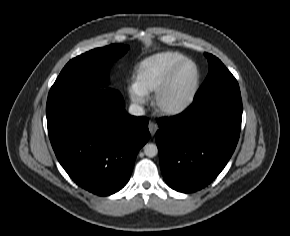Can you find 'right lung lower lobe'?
Returning <instances> with one entry per match:
<instances>
[{
  "label": "right lung lower lobe",
  "instance_id": "right-lung-lower-lobe-1",
  "mask_svg": "<svg viewBox=\"0 0 290 236\" xmlns=\"http://www.w3.org/2000/svg\"><path fill=\"white\" fill-rule=\"evenodd\" d=\"M46 115L62 167L79 186L101 196L126 185L150 138L148 119L126 113L122 96L112 89L50 91Z\"/></svg>",
  "mask_w": 290,
  "mask_h": 236
}]
</instances>
